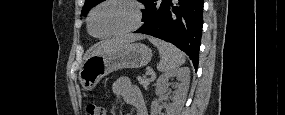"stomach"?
<instances>
[{
  "mask_svg": "<svg viewBox=\"0 0 285 115\" xmlns=\"http://www.w3.org/2000/svg\"><path fill=\"white\" fill-rule=\"evenodd\" d=\"M151 58L152 50L142 43H129L112 53L89 56L79 72L80 84L86 91H91L111 72L124 68H141Z\"/></svg>",
  "mask_w": 285,
  "mask_h": 115,
  "instance_id": "0dacf381",
  "label": "stomach"
}]
</instances>
